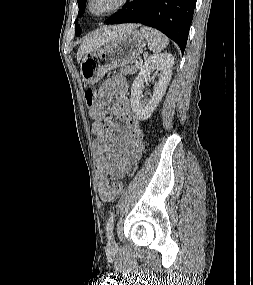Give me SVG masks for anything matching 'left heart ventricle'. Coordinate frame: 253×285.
<instances>
[{
	"mask_svg": "<svg viewBox=\"0 0 253 285\" xmlns=\"http://www.w3.org/2000/svg\"><path fill=\"white\" fill-rule=\"evenodd\" d=\"M118 0H96L93 4V10L96 12L103 11L114 7Z\"/></svg>",
	"mask_w": 253,
	"mask_h": 285,
	"instance_id": "b2bd125f",
	"label": "left heart ventricle"
}]
</instances>
